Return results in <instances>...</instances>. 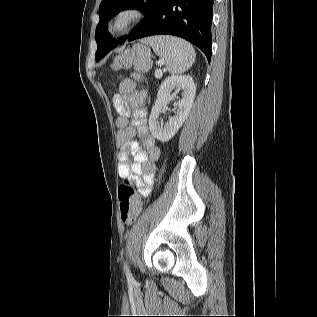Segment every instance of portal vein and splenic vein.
<instances>
[{
	"label": "portal vein and splenic vein",
	"instance_id": "1",
	"mask_svg": "<svg viewBox=\"0 0 317 317\" xmlns=\"http://www.w3.org/2000/svg\"><path fill=\"white\" fill-rule=\"evenodd\" d=\"M155 77H156V78H161V77H162V72H161V70H157V71L155 72Z\"/></svg>",
	"mask_w": 317,
	"mask_h": 317
}]
</instances>
